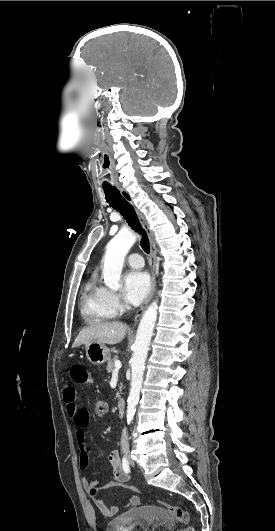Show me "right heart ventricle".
<instances>
[{
  "mask_svg": "<svg viewBox=\"0 0 275 531\" xmlns=\"http://www.w3.org/2000/svg\"><path fill=\"white\" fill-rule=\"evenodd\" d=\"M103 295V287L97 277L91 275L84 284L81 295V312L90 322L101 323L112 317L104 305Z\"/></svg>",
  "mask_w": 275,
  "mask_h": 531,
  "instance_id": "obj_1",
  "label": "right heart ventricle"
}]
</instances>
